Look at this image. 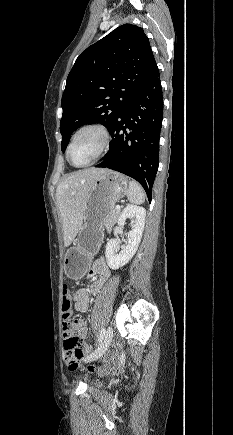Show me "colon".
Segmentation results:
<instances>
[{
    "mask_svg": "<svg viewBox=\"0 0 233 435\" xmlns=\"http://www.w3.org/2000/svg\"><path fill=\"white\" fill-rule=\"evenodd\" d=\"M62 313L64 318H69L72 313V301L69 287L64 284L62 288ZM64 361L69 370L75 371L79 368L82 360L80 349V333L73 325L64 328Z\"/></svg>",
    "mask_w": 233,
    "mask_h": 435,
    "instance_id": "colon-1",
    "label": "colon"
}]
</instances>
